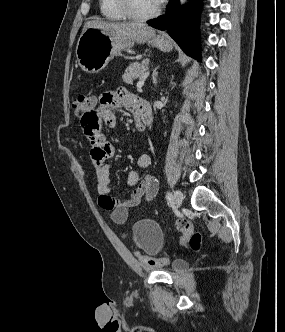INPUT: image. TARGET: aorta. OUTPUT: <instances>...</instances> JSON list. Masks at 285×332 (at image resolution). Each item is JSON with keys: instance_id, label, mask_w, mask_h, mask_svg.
<instances>
[{"instance_id": "aorta-1", "label": "aorta", "mask_w": 285, "mask_h": 332, "mask_svg": "<svg viewBox=\"0 0 285 332\" xmlns=\"http://www.w3.org/2000/svg\"><path fill=\"white\" fill-rule=\"evenodd\" d=\"M186 0H180V3L181 4H184Z\"/></svg>"}]
</instances>
